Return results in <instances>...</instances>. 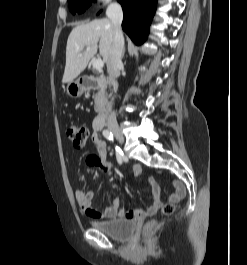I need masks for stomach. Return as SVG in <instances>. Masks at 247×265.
<instances>
[{
  "instance_id": "stomach-1",
  "label": "stomach",
  "mask_w": 247,
  "mask_h": 265,
  "mask_svg": "<svg viewBox=\"0 0 247 265\" xmlns=\"http://www.w3.org/2000/svg\"><path fill=\"white\" fill-rule=\"evenodd\" d=\"M86 91V86L81 79L71 81L67 85V93L72 98L80 97Z\"/></svg>"
}]
</instances>
